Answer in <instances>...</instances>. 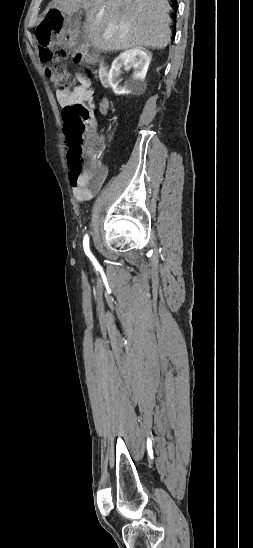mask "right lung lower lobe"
I'll use <instances>...</instances> for the list:
<instances>
[{
	"instance_id": "right-lung-lower-lobe-1",
	"label": "right lung lower lobe",
	"mask_w": 253,
	"mask_h": 548,
	"mask_svg": "<svg viewBox=\"0 0 253 548\" xmlns=\"http://www.w3.org/2000/svg\"><path fill=\"white\" fill-rule=\"evenodd\" d=\"M171 2H172V4H173V6H174L175 8H177V0H171Z\"/></svg>"
}]
</instances>
